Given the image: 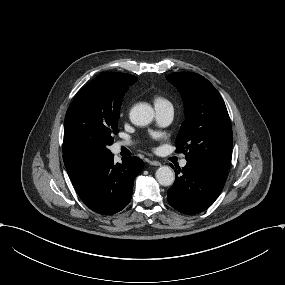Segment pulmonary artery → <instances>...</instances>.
I'll return each instance as SVG.
<instances>
[{
    "label": "pulmonary artery",
    "mask_w": 285,
    "mask_h": 285,
    "mask_svg": "<svg viewBox=\"0 0 285 285\" xmlns=\"http://www.w3.org/2000/svg\"><path fill=\"white\" fill-rule=\"evenodd\" d=\"M157 115L162 122H168L172 119L174 110L171 103H166L161 106L156 107ZM127 143L121 142L114 144L112 146L113 154H118L121 151V147L126 146ZM187 165V160L182 159L180 162L181 167H185Z\"/></svg>",
    "instance_id": "pulmonary-artery-1"
}]
</instances>
